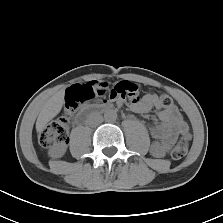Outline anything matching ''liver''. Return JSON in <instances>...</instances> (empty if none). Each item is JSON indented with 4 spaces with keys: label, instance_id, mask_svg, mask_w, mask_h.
I'll return each instance as SVG.
<instances>
[{
    "label": "liver",
    "instance_id": "6515ba94",
    "mask_svg": "<svg viewBox=\"0 0 223 223\" xmlns=\"http://www.w3.org/2000/svg\"><path fill=\"white\" fill-rule=\"evenodd\" d=\"M64 103V90L58 91L46 101L36 121V130L41 133L46 124L52 120L62 109Z\"/></svg>",
    "mask_w": 223,
    "mask_h": 223
}]
</instances>
